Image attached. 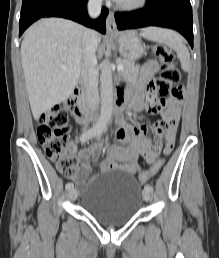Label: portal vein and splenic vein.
<instances>
[{"instance_id":"1","label":"portal vein and splenic vein","mask_w":219,"mask_h":258,"mask_svg":"<svg viewBox=\"0 0 219 258\" xmlns=\"http://www.w3.org/2000/svg\"><path fill=\"white\" fill-rule=\"evenodd\" d=\"M60 68H61L62 70H66L68 67L62 65V66H60ZM122 70H123V65L119 64V65L117 66V71H118V72H121Z\"/></svg>"}]
</instances>
